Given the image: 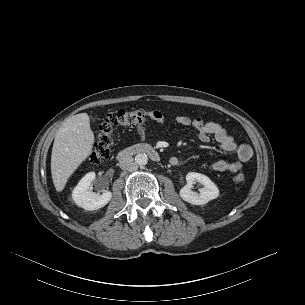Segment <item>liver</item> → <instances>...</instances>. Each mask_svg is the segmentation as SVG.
Returning a JSON list of instances; mask_svg holds the SVG:
<instances>
[{
    "mask_svg": "<svg viewBox=\"0 0 305 305\" xmlns=\"http://www.w3.org/2000/svg\"><path fill=\"white\" fill-rule=\"evenodd\" d=\"M94 134L87 113L72 116L56 133L51 155V174L57 192H61L79 165L91 154Z\"/></svg>",
    "mask_w": 305,
    "mask_h": 305,
    "instance_id": "liver-1",
    "label": "liver"
}]
</instances>
